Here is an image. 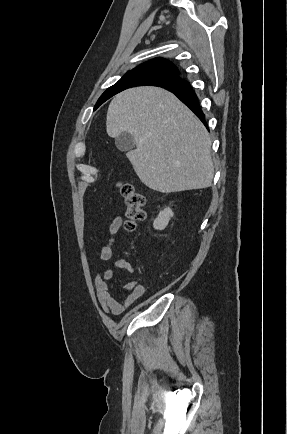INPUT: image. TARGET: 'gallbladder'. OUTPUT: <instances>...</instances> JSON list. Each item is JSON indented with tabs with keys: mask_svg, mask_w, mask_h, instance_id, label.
Returning a JSON list of instances; mask_svg holds the SVG:
<instances>
[{
	"mask_svg": "<svg viewBox=\"0 0 287 434\" xmlns=\"http://www.w3.org/2000/svg\"><path fill=\"white\" fill-rule=\"evenodd\" d=\"M115 145L120 151L128 152L135 147V140L130 133L122 132L115 138Z\"/></svg>",
	"mask_w": 287,
	"mask_h": 434,
	"instance_id": "bac80fb5",
	"label": "gallbladder"
}]
</instances>
